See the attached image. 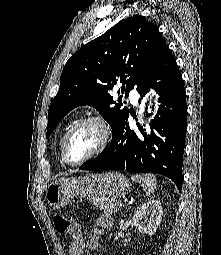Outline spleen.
Listing matches in <instances>:
<instances>
[{"instance_id": "spleen-1", "label": "spleen", "mask_w": 221, "mask_h": 255, "mask_svg": "<svg viewBox=\"0 0 221 255\" xmlns=\"http://www.w3.org/2000/svg\"><path fill=\"white\" fill-rule=\"evenodd\" d=\"M131 180L138 182L147 195H152L157 186V179L153 174H137Z\"/></svg>"}]
</instances>
